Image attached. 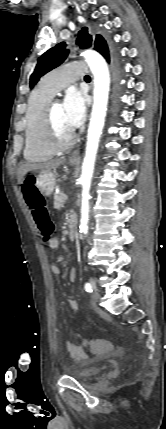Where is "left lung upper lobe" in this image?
Here are the masks:
<instances>
[{
  "label": "left lung upper lobe",
  "instance_id": "1",
  "mask_svg": "<svg viewBox=\"0 0 166 429\" xmlns=\"http://www.w3.org/2000/svg\"><path fill=\"white\" fill-rule=\"evenodd\" d=\"M76 44L79 45L81 49L87 48L93 44L94 49L98 52L102 48L107 47L106 41L101 35H96L94 39H92L86 27L78 32ZM68 54L69 50L66 49L65 42H61L39 57L35 70L30 76V88H33L43 75L62 64Z\"/></svg>",
  "mask_w": 166,
  "mask_h": 429
}]
</instances>
